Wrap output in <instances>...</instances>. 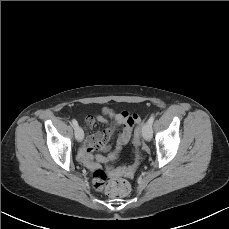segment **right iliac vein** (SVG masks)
Segmentation results:
<instances>
[{"label":"right iliac vein","instance_id":"63e3f726","mask_svg":"<svg viewBox=\"0 0 229 229\" xmlns=\"http://www.w3.org/2000/svg\"><path fill=\"white\" fill-rule=\"evenodd\" d=\"M75 137H76L78 142H81L84 138V132H83L82 128L79 126L75 128Z\"/></svg>","mask_w":229,"mask_h":229}]
</instances>
